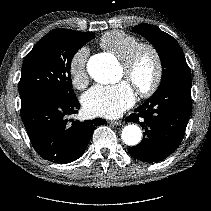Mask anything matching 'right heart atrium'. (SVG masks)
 <instances>
[{
  "mask_svg": "<svg viewBox=\"0 0 211 211\" xmlns=\"http://www.w3.org/2000/svg\"><path fill=\"white\" fill-rule=\"evenodd\" d=\"M89 49L86 46L78 48L70 57L68 63V72L72 85L77 89H83L89 82L87 71V61Z\"/></svg>",
  "mask_w": 211,
  "mask_h": 211,
  "instance_id": "obj_1",
  "label": "right heart atrium"
}]
</instances>
